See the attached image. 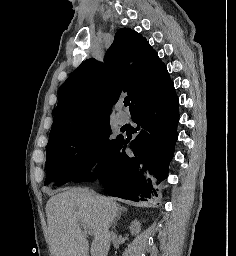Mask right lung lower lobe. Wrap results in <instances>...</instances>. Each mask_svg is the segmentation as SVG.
Returning <instances> with one entry per match:
<instances>
[{
    "label": "right lung lower lobe",
    "mask_w": 236,
    "mask_h": 256,
    "mask_svg": "<svg viewBox=\"0 0 236 256\" xmlns=\"http://www.w3.org/2000/svg\"><path fill=\"white\" fill-rule=\"evenodd\" d=\"M138 135L129 142L122 138L106 160L97 164L88 175L73 181L98 179L106 192L133 201L147 200L167 177L178 138V98L172 81L150 95L131 111ZM126 147L131 151L126 152Z\"/></svg>",
    "instance_id": "obj_1"
}]
</instances>
